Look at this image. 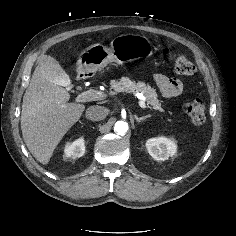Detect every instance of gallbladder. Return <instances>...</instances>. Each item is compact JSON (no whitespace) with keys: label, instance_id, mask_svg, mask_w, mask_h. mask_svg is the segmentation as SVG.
I'll return each instance as SVG.
<instances>
[{"label":"gallbladder","instance_id":"gallbladder-1","mask_svg":"<svg viewBox=\"0 0 236 236\" xmlns=\"http://www.w3.org/2000/svg\"><path fill=\"white\" fill-rule=\"evenodd\" d=\"M40 60L45 64V73L51 81L58 84L65 82L66 73L56 59L44 55Z\"/></svg>","mask_w":236,"mask_h":236}]
</instances>
